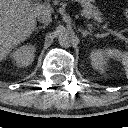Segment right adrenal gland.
Returning <instances> with one entry per match:
<instances>
[{
	"instance_id": "right-adrenal-gland-1",
	"label": "right adrenal gland",
	"mask_w": 128,
	"mask_h": 128,
	"mask_svg": "<svg viewBox=\"0 0 128 128\" xmlns=\"http://www.w3.org/2000/svg\"><path fill=\"white\" fill-rule=\"evenodd\" d=\"M46 26H47V24H44L43 26H39V27L35 28L34 31H37L38 32V29H45Z\"/></svg>"
}]
</instances>
